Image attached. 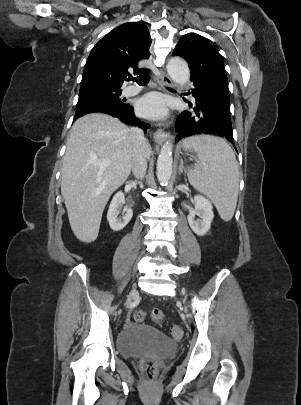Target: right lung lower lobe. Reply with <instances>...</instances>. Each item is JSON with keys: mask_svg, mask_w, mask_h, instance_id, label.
<instances>
[{"mask_svg": "<svg viewBox=\"0 0 301 405\" xmlns=\"http://www.w3.org/2000/svg\"><path fill=\"white\" fill-rule=\"evenodd\" d=\"M92 112H100V113H105V114L111 115L113 117H117L126 124H132L135 126H139L145 132L150 127L149 124L141 122L140 120H138L135 117L134 109L131 106H128L126 108H103V109H99V110L92 111ZM78 117H80V116L75 115L74 120H76Z\"/></svg>", "mask_w": 301, "mask_h": 405, "instance_id": "98d812e1", "label": "right lung lower lobe"}]
</instances>
